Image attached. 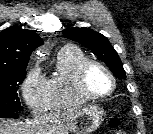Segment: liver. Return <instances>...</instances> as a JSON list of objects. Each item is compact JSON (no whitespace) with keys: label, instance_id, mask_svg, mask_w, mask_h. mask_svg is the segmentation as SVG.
Masks as SVG:
<instances>
[{"label":"liver","instance_id":"liver-1","mask_svg":"<svg viewBox=\"0 0 153 134\" xmlns=\"http://www.w3.org/2000/svg\"><path fill=\"white\" fill-rule=\"evenodd\" d=\"M79 110L69 108L25 122L0 119V134H68Z\"/></svg>","mask_w":153,"mask_h":134}]
</instances>
